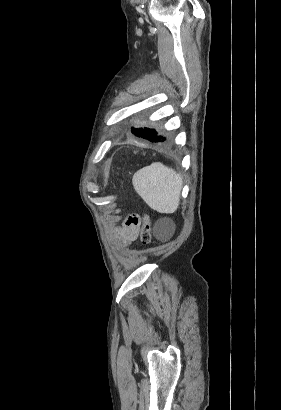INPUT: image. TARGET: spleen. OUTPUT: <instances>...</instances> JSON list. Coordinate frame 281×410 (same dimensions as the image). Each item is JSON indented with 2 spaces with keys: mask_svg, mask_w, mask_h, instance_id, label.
<instances>
[{
  "mask_svg": "<svg viewBox=\"0 0 281 410\" xmlns=\"http://www.w3.org/2000/svg\"><path fill=\"white\" fill-rule=\"evenodd\" d=\"M135 191L159 213H174L180 202L182 177L160 162L138 170L132 178Z\"/></svg>",
  "mask_w": 281,
  "mask_h": 410,
  "instance_id": "spleen-1",
  "label": "spleen"
}]
</instances>
